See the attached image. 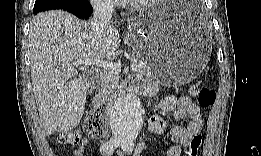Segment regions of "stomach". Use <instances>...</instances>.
<instances>
[{
	"instance_id": "1",
	"label": "stomach",
	"mask_w": 261,
	"mask_h": 156,
	"mask_svg": "<svg viewBox=\"0 0 261 156\" xmlns=\"http://www.w3.org/2000/svg\"><path fill=\"white\" fill-rule=\"evenodd\" d=\"M186 2H156L131 19L130 38L163 83L184 84L204 68L211 54L207 29L186 17Z\"/></svg>"
}]
</instances>
